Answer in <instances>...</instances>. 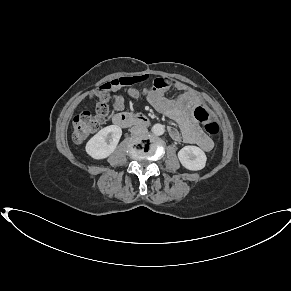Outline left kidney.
I'll return each mask as SVG.
<instances>
[{
    "instance_id": "1",
    "label": "left kidney",
    "mask_w": 291,
    "mask_h": 291,
    "mask_svg": "<svg viewBox=\"0 0 291 291\" xmlns=\"http://www.w3.org/2000/svg\"><path fill=\"white\" fill-rule=\"evenodd\" d=\"M178 158L183 167L191 171H198L205 167L207 157L197 146H185L178 152Z\"/></svg>"
}]
</instances>
